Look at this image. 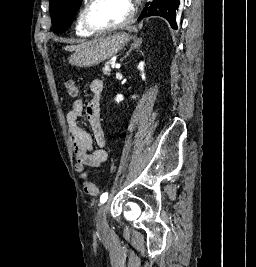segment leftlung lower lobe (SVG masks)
Instances as JSON below:
<instances>
[{"instance_id":"0a47b994","label":"left lung lower lobe","mask_w":256,"mask_h":267,"mask_svg":"<svg viewBox=\"0 0 256 267\" xmlns=\"http://www.w3.org/2000/svg\"><path fill=\"white\" fill-rule=\"evenodd\" d=\"M179 6V0H173V21L170 24L173 29H177L176 24V8Z\"/></svg>"}]
</instances>
